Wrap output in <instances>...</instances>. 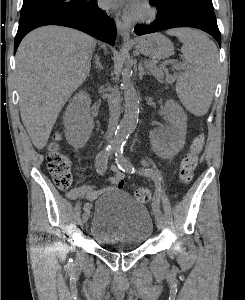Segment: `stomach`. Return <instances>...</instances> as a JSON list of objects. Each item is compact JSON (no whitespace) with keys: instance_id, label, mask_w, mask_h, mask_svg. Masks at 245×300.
<instances>
[{"instance_id":"obj_1","label":"stomach","mask_w":245,"mask_h":300,"mask_svg":"<svg viewBox=\"0 0 245 300\" xmlns=\"http://www.w3.org/2000/svg\"><path fill=\"white\" fill-rule=\"evenodd\" d=\"M136 49L155 60L166 59L174 52L173 43L160 33H153L140 37Z\"/></svg>"}]
</instances>
